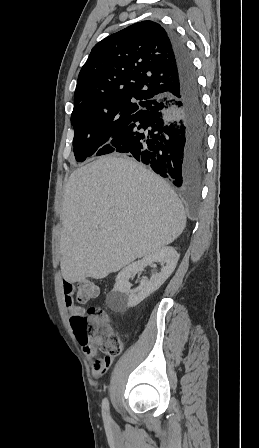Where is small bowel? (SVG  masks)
Listing matches in <instances>:
<instances>
[{
	"instance_id": "obj_1",
	"label": "small bowel",
	"mask_w": 259,
	"mask_h": 448,
	"mask_svg": "<svg viewBox=\"0 0 259 448\" xmlns=\"http://www.w3.org/2000/svg\"><path fill=\"white\" fill-rule=\"evenodd\" d=\"M74 287L69 281H63V293L65 298L66 307L70 313L71 319L76 316H82L85 314L84 308L77 306L73 299ZM83 352L89 361H93L92 375L97 378L104 375L112 363L110 356L97 357V349L92 344L83 346Z\"/></svg>"
}]
</instances>
